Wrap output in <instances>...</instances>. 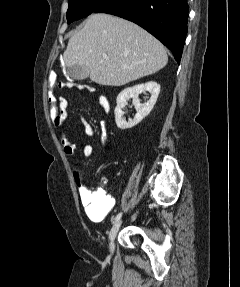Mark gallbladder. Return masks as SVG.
Listing matches in <instances>:
<instances>
[{
    "label": "gallbladder",
    "instance_id": "obj_1",
    "mask_svg": "<svg viewBox=\"0 0 240 287\" xmlns=\"http://www.w3.org/2000/svg\"><path fill=\"white\" fill-rule=\"evenodd\" d=\"M65 75L70 80H84L89 77V70L85 66L73 65L66 68Z\"/></svg>",
    "mask_w": 240,
    "mask_h": 287
}]
</instances>
